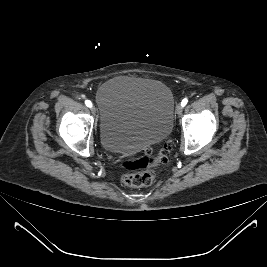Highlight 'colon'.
I'll list each match as a JSON object with an SVG mask.
<instances>
[{
    "label": "colon",
    "mask_w": 267,
    "mask_h": 267,
    "mask_svg": "<svg viewBox=\"0 0 267 267\" xmlns=\"http://www.w3.org/2000/svg\"><path fill=\"white\" fill-rule=\"evenodd\" d=\"M169 145L165 143L159 150L148 148L139 158L122 163L125 173L122 182L126 186L141 187L150 185L156 172L167 163Z\"/></svg>",
    "instance_id": "colon-1"
}]
</instances>
